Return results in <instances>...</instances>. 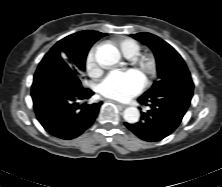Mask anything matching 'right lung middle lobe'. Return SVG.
I'll use <instances>...</instances> for the list:
<instances>
[{"label": "right lung middle lobe", "mask_w": 222, "mask_h": 187, "mask_svg": "<svg viewBox=\"0 0 222 187\" xmlns=\"http://www.w3.org/2000/svg\"><path fill=\"white\" fill-rule=\"evenodd\" d=\"M91 46L92 44L89 43H81L76 46H71L68 49H61L60 51L50 50L45 57L50 59H62L78 77L79 72L85 70L86 56Z\"/></svg>", "instance_id": "right-lung-middle-lobe-1"}]
</instances>
